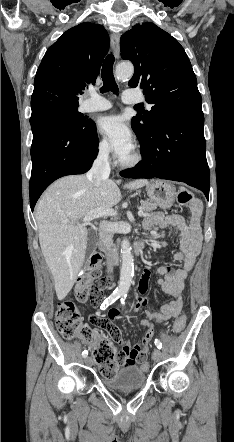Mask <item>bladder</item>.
<instances>
[{
    "mask_svg": "<svg viewBox=\"0 0 234 442\" xmlns=\"http://www.w3.org/2000/svg\"><path fill=\"white\" fill-rule=\"evenodd\" d=\"M147 380L146 369L137 365H127L118 369L112 377H103L102 383L111 390H132L142 387Z\"/></svg>",
    "mask_w": 234,
    "mask_h": 442,
    "instance_id": "1",
    "label": "bladder"
}]
</instances>
